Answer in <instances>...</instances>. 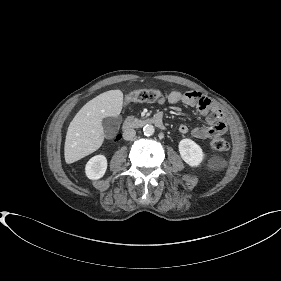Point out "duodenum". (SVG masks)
<instances>
[{"mask_svg":"<svg viewBox=\"0 0 281 281\" xmlns=\"http://www.w3.org/2000/svg\"><path fill=\"white\" fill-rule=\"evenodd\" d=\"M147 124H153L161 130L166 129L163 117L159 114H156L146 119H129L124 123L123 130L126 131L131 128H141Z\"/></svg>","mask_w":281,"mask_h":281,"instance_id":"1","label":"duodenum"}]
</instances>
